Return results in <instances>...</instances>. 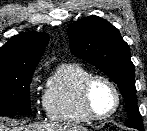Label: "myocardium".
Segmentation results:
<instances>
[{
    "label": "myocardium",
    "instance_id": "myocardium-1",
    "mask_svg": "<svg viewBox=\"0 0 147 131\" xmlns=\"http://www.w3.org/2000/svg\"><path fill=\"white\" fill-rule=\"evenodd\" d=\"M98 80L106 82L111 87V89L115 95V106L112 109V111H110L109 113H107L105 115L96 114L92 108V105H91V100H90L91 88H92L93 84ZM81 103H82V107H83L85 114L87 115V117L90 120L104 121V120H107V119L111 118L112 116H114L117 113V111L119 110L120 105H121V94H120V91H119L117 85L109 77L102 75V74H94V75L89 76L84 81V83L82 85Z\"/></svg>",
    "mask_w": 147,
    "mask_h": 131
}]
</instances>
